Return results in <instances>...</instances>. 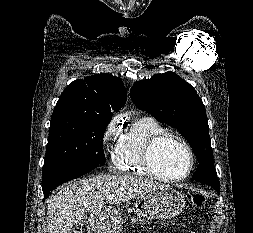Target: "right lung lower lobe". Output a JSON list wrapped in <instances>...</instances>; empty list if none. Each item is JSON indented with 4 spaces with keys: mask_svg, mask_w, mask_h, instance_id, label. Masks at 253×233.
Wrapping results in <instances>:
<instances>
[{
    "mask_svg": "<svg viewBox=\"0 0 253 233\" xmlns=\"http://www.w3.org/2000/svg\"><path fill=\"white\" fill-rule=\"evenodd\" d=\"M96 167L95 165H60L42 172L44 199L60 184L78 178Z\"/></svg>",
    "mask_w": 253,
    "mask_h": 233,
    "instance_id": "1",
    "label": "right lung lower lobe"
}]
</instances>
